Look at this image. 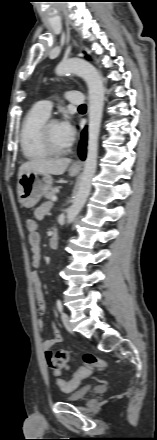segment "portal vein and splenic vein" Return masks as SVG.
Masks as SVG:
<instances>
[{"instance_id": "obj_1", "label": "portal vein and splenic vein", "mask_w": 157, "mask_h": 440, "mask_svg": "<svg viewBox=\"0 0 157 440\" xmlns=\"http://www.w3.org/2000/svg\"><path fill=\"white\" fill-rule=\"evenodd\" d=\"M51 200H52L53 202H55V201L57 200V197H56V196H53Z\"/></svg>"}]
</instances>
